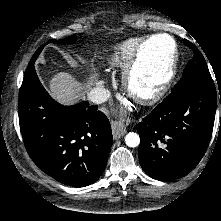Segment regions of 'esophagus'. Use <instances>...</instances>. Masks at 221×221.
I'll return each mask as SVG.
<instances>
[{
	"label": "esophagus",
	"mask_w": 221,
	"mask_h": 221,
	"mask_svg": "<svg viewBox=\"0 0 221 221\" xmlns=\"http://www.w3.org/2000/svg\"><path fill=\"white\" fill-rule=\"evenodd\" d=\"M130 122L129 119L126 120V124ZM112 134L114 139L121 138L126 133V128L123 120L112 121Z\"/></svg>",
	"instance_id": "esophagus-1"
}]
</instances>
